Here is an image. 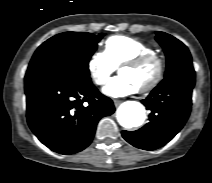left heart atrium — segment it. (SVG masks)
I'll use <instances>...</instances> for the list:
<instances>
[{"label":"left heart atrium","mask_w":212,"mask_h":183,"mask_svg":"<svg viewBox=\"0 0 212 183\" xmlns=\"http://www.w3.org/2000/svg\"><path fill=\"white\" fill-rule=\"evenodd\" d=\"M138 88L127 78L119 76L114 78L104 89L103 92L114 98L124 97L136 93Z\"/></svg>","instance_id":"39dd6f15"}]
</instances>
